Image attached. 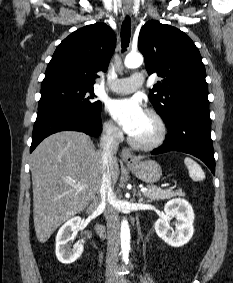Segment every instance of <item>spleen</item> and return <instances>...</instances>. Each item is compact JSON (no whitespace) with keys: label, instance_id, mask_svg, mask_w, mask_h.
Returning a JSON list of instances; mask_svg holds the SVG:
<instances>
[{"label":"spleen","instance_id":"3e777b00","mask_svg":"<svg viewBox=\"0 0 233 283\" xmlns=\"http://www.w3.org/2000/svg\"><path fill=\"white\" fill-rule=\"evenodd\" d=\"M184 163L186 165V167L188 168V172L190 177L194 180V181H202L205 179V174L202 170V168L200 167V165L195 162L193 159L186 157L184 159Z\"/></svg>","mask_w":233,"mask_h":283}]
</instances>
